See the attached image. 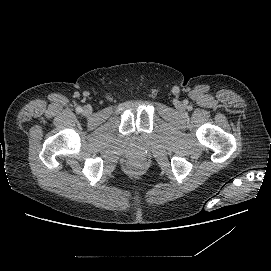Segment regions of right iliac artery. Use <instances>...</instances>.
<instances>
[{
	"label": "right iliac artery",
	"instance_id": "82829eb1",
	"mask_svg": "<svg viewBox=\"0 0 271 271\" xmlns=\"http://www.w3.org/2000/svg\"><path fill=\"white\" fill-rule=\"evenodd\" d=\"M76 112H77V113H81V112H82V108H81V107H77V108H76Z\"/></svg>",
	"mask_w": 271,
	"mask_h": 271
}]
</instances>
